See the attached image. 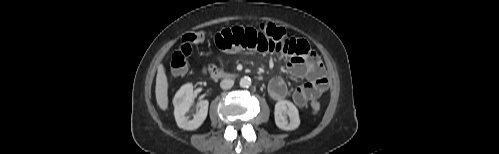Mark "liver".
Returning <instances> with one entry per match:
<instances>
[{
	"label": "liver",
	"instance_id": "6515ba94",
	"mask_svg": "<svg viewBox=\"0 0 499 154\" xmlns=\"http://www.w3.org/2000/svg\"><path fill=\"white\" fill-rule=\"evenodd\" d=\"M156 101L160 109H168V79L163 64H159L156 76L155 88Z\"/></svg>",
	"mask_w": 499,
	"mask_h": 154
}]
</instances>
